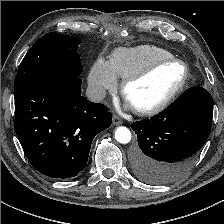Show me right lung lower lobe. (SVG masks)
I'll use <instances>...</instances> for the list:
<instances>
[{
  "label": "right lung lower lobe",
  "mask_w": 224,
  "mask_h": 224,
  "mask_svg": "<svg viewBox=\"0 0 224 224\" xmlns=\"http://www.w3.org/2000/svg\"><path fill=\"white\" fill-rule=\"evenodd\" d=\"M81 82L79 77L52 75L14 94L16 135L29 162L46 176H77L94 137L111 125L106 106L81 96Z\"/></svg>",
  "instance_id": "obj_1"
}]
</instances>
